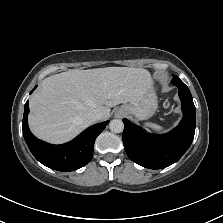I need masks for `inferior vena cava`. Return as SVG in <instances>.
Masks as SVG:
<instances>
[{
    "mask_svg": "<svg viewBox=\"0 0 223 223\" xmlns=\"http://www.w3.org/2000/svg\"><path fill=\"white\" fill-rule=\"evenodd\" d=\"M88 118L92 122H95V121L101 120L103 118V113L98 109H94L89 113Z\"/></svg>",
    "mask_w": 223,
    "mask_h": 223,
    "instance_id": "obj_1",
    "label": "inferior vena cava"
}]
</instances>
